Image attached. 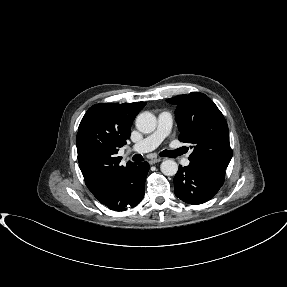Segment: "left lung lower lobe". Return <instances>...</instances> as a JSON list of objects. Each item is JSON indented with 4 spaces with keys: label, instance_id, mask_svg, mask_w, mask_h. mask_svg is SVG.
<instances>
[{
    "label": "left lung lower lobe",
    "instance_id": "0a47b994",
    "mask_svg": "<svg viewBox=\"0 0 287 287\" xmlns=\"http://www.w3.org/2000/svg\"><path fill=\"white\" fill-rule=\"evenodd\" d=\"M225 170L200 162L179 166L174 181V193L182 201L202 204L214 197L224 183Z\"/></svg>",
    "mask_w": 287,
    "mask_h": 287
}]
</instances>
